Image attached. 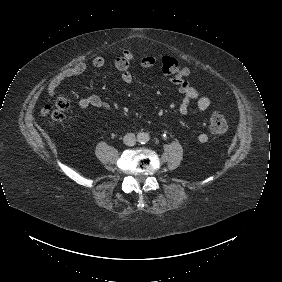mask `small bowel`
<instances>
[{"label": "small bowel", "instance_id": "small-bowel-1", "mask_svg": "<svg viewBox=\"0 0 282 282\" xmlns=\"http://www.w3.org/2000/svg\"><path fill=\"white\" fill-rule=\"evenodd\" d=\"M134 60V54L131 51H124L120 57L115 60V67L121 72V80L130 84L133 81V75L129 71L131 62ZM92 67L102 68L105 65V59L102 56H96L91 62ZM156 65V59L153 56H145L140 61V66L142 68H152ZM88 68L86 62H79L72 67L65 68L54 75L48 85L47 92L50 96L55 94L57 88L67 79L79 76L83 74ZM170 82L177 86L182 99L178 105V111L180 114L185 115L189 112L191 103L196 102V106L199 111H206L210 107V99L207 96L201 95L196 88L189 84L187 80L176 81L173 78ZM80 109H86L89 107L103 109L105 106L104 101L98 95H90L88 97L82 98L77 103ZM197 140L199 143L205 144L209 140V136L205 132H200L197 135Z\"/></svg>", "mask_w": 282, "mask_h": 282}]
</instances>
